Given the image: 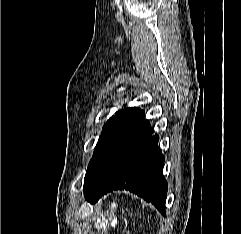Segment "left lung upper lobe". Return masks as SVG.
<instances>
[{
  "label": "left lung upper lobe",
  "instance_id": "1",
  "mask_svg": "<svg viewBox=\"0 0 241 234\" xmlns=\"http://www.w3.org/2000/svg\"><path fill=\"white\" fill-rule=\"evenodd\" d=\"M134 111H135V108H126L122 111H118L116 112L115 117H112L111 119H109V121L104 125L102 134L95 147L93 157L90 160V163L88 165V169L86 171V175L84 178L85 196L91 181L93 180L98 170L100 169L113 141L119 134L120 130L122 129L127 119Z\"/></svg>",
  "mask_w": 241,
  "mask_h": 234
}]
</instances>
